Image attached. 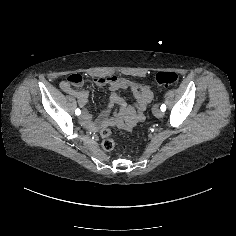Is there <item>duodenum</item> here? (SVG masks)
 <instances>
[{
	"mask_svg": "<svg viewBox=\"0 0 236 236\" xmlns=\"http://www.w3.org/2000/svg\"><path fill=\"white\" fill-rule=\"evenodd\" d=\"M106 83L108 85H110V87L113 89V90H117L119 88H122V87H127V86H130L132 89L136 90L137 89V85L135 84H132V83H129L127 81H124V80H114V79H107L106 80ZM71 95H73L74 97H76L80 102H83L85 100V97L81 96L80 94L78 93H72ZM111 100L112 102L116 103V104H119V105H124V101L117 95V94H113L111 96ZM137 100H138V103H139V109L142 108V106L146 103V96L144 93L142 94H139L137 96ZM138 116H136L135 118L137 119ZM86 121L88 122L89 125H91L90 123V120L89 118L86 119ZM108 123L110 124H116L117 122L115 121H108Z\"/></svg>",
	"mask_w": 236,
	"mask_h": 236,
	"instance_id": "410a0bca",
	"label": "duodenum"
}]
</instances>
